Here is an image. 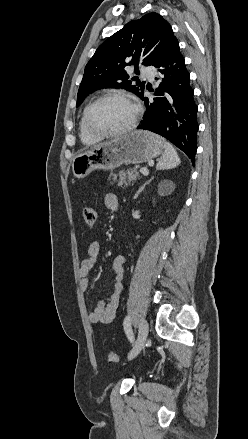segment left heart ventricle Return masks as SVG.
<instances>
[{
  "label": "left heart ventricle",
  "mask_w": 248,
  "mask_h": 439,
  "mask_svg": "<svg viewBox=\"0 0 248 439\" xmlns=\"http://www.w3.org/2000/svg\"><path fill=\"white\" fill-rule=\"evenodd\" d=\"M134 116V108L126 101L108 99L97 104L91 113L93 126L102 131H116L126 127Z\"/></svg>",
  "instance_id": "b2bd125f"
}]
</instances>
